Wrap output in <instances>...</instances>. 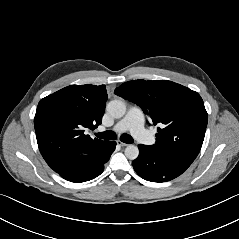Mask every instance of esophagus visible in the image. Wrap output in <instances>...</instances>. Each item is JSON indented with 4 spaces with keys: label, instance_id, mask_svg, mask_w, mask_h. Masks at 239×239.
I'll return each instance as SVG.
<instances>
[{
    "label": "esophagus",
    "instance_id": "obj_1",
    "mask_svg": "<svg viewBox=\"0 0 239 239\" xmlns=\"http://www.w3.org/2000/svg\"><path fill=\"white\" fill-rule=\"evenodd\" d=\"M117 145H118V146H121V147H126V146H128V144H126V143H124V142H122V141H117Z\"/></svg>",
    "mask_w": 239,
    "mask_h": 239
}]
</instances>
